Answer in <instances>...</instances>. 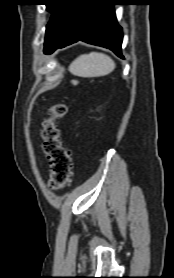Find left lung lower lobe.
I'll list each match as a JSON object with an SVG mask.
<instances>
[{"label":"left lung lower lobe","instance_id":"0a47b994","mask_svg":"<svg viewBox=\"0 0 174 278\" xmlns=\"http://www.w3.org/2000/svg\"><path fill=\"white\" fill-rule=\"evenodd\" d=\"M117 4V0H78L65 35L45 54L82 40L111 49L124 58L121 54L122 29L114 11Z\"/></svg>","mask_w":174,"mask_h":278}]
</instances>
